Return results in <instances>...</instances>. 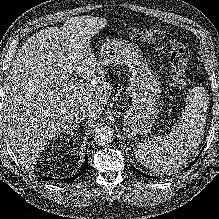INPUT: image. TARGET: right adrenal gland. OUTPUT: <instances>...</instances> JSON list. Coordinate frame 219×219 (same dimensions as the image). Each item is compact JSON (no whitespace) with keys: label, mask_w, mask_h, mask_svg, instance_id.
Returning a JSON list of instances; mask_svg holds the SVG:
<instances>
[{"label":"right adrenal gland","mask_w":219,"mask_h":219,"mask_svg":"<svg viewBox=\"0 0 219 219\" xmlns=\"http://www.w3.org/2000/svg\"><path fill=\"white\" fill-rule=\"evenodd\" d=\"M80 122H81V120H75V123L66 131V134L73 137ZM68 141H69V139H68Z\"/></svg>","instance_id":"1"}]
</instances>
